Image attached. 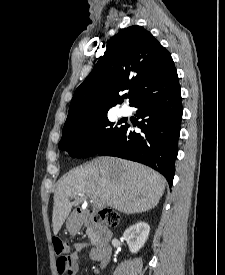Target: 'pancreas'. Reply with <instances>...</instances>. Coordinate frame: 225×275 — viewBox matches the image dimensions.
I'll use <instances>...</instances> for the list:
<instances>
[{
	"label": "pancreas",
	"instance_id": "obj_1",
	"mask_svg": "<svg viewBox=\"0 0 225 275\" xmlns=\"http://www.w3.org/2000/svg\"><path fill=\"white\" fill-rule=\"evenodd\" d=\"M87 234L90 239H94V233L91 227H88Z\"/></svg>",
	"mask_w": 225,
	"mask_h": 275
}]
</instances>
